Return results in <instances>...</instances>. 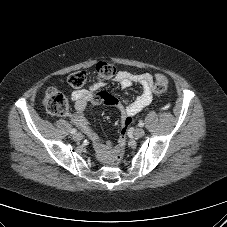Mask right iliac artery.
<instances>
[{
    "mask_svg": "<svg viewBox=\"0 0 227 227\" xmlns=\"http://www.w3.org/2000/svg\"><path fill=\"white\" fill-rule=\"evenodd\" d=\"M77 132V130L75 128L71 129L70 133L71 134H75Z\"/></svg>",
    "mask_w": 227,
    "mask_h": 227,
    "instance_id": "1",
    "label": "right iliac artery"
}]
</instances>
